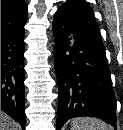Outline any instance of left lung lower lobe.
<instances>
[{"label":"left lung lower lobe","mask_w":123,"mask_h":130,"mask_svg":"<svg viewBox=\"0 0 123 130\" xmlns=\"http://www.w3.org/2000/svg\"><path fill=\"white\" fill-rule=\"evenodd\" d=\"M53 28L57 130L78 116L98 117L116 128V98L100 35L80 27L61 8L54 15Z\"/></svg>","instance_id":"left-lung-lower-lobe-1"}]
</instances>
